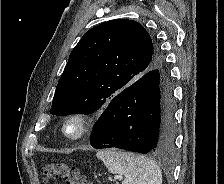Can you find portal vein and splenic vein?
<instances>
[{
	"instance_id": "portal-vein-and-splenic-vein-1",
	"label": "portal vein and splenic vein",
	"mask_w": 224,
	"mask_h": 184,
	"mask_svg": "<svg viewBox=\"0 0 224 184\" xmlns=\"http://www.w3.org/2000/svg\"><path fill=\"white\" fill-rule=\"evenodd\" d=\"M114 179H118V180H121L122 179V176H115Z\"/></svg>"
}]
</instances>
